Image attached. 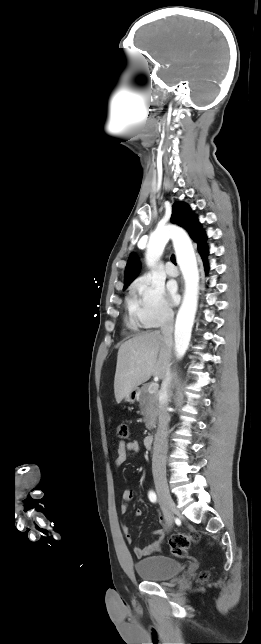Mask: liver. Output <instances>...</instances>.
Masks as SVG:
<instances>
[{
  "label": "liver",
  "instance_id": "liver-1",
  "mask_svg": "<svg viewBox=\"0 0 261 644\" xmlns=\"http://www.w3.org/2000/svg\"><path fill=\"white\" fill-rule=\"evenodd\" d=\"M170 357L171 347L159 331L144 332L123 343L118 350L114 379L116 402L120 403L152 375L164 379Z\"/></svg>",
  "mask_w": 261,
  "mask_h": 644
}]
</instances>
